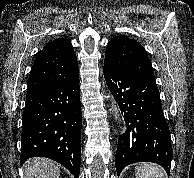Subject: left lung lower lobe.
<instances>
[{"mask_svg": "<svg viewBox=\"0 0 194 178\" xmlns=\"http://www.w3.org/2000/svg\"><path fill=\"white\" fill-rule=\"evenodd\" d=\"M104 77L127 125V131L118 140V175L135 162H154L169 173L173 153L156 82L105 61Z\"/></svg>", "mask_w": 194, "mask_h": 178, "instance_id": "0a47b994", "label": "left lung lower lobe"}]
</instances>
